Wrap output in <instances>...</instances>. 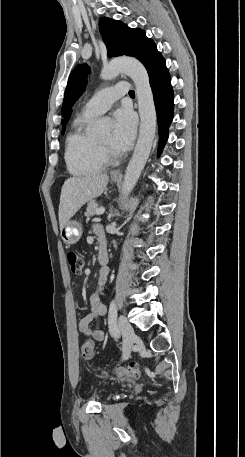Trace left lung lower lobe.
I'll list each match as a JSON object with an SVG mask.
<instances>
[{"label":"left lung lower lobe","mask_w":245,"mask_h":457,"mask_svg":"<svg viewBox=\"0 0 245 457\" xmlns=\"http://www.w3.org/2000/svg\"><path fill=\"white\" fill-rule=\"evenodd\" d=\"M141 62L147 69L153 92L159 132L158 155H160L167 141L168 128L173 119L174 95L171 77L164 58L157 50L149 53Z\"/></svg>","instance_id":"obj_1"}]
</instances>
